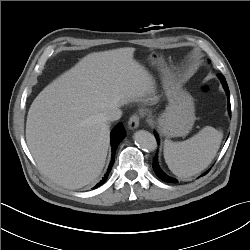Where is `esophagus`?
Here are the masks:
<instances>
[{
	"mask_svg": "<svg viewBox=\"0 0 250 250\" xmlns=\"http://www.w3.org/2000/svg\"><path fill=\"white\" fill-rule=\"evenodd\" d=\"M140 116L138 114H133L128 121V127L131 130H134L139 127Z\"/></svg>",
	"mask_w": 250,
	"mask_h": 250,
	"instance_id": "34e87169",
	"label": "esophagus"
}]
</instances>
